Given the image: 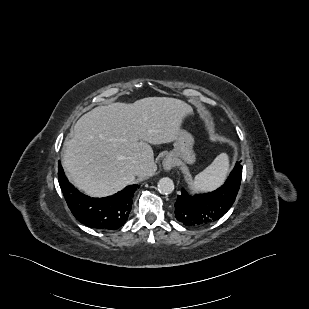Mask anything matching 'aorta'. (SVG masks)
Returning a JSON list of instances; mask_svg holds the SVG:
<instances>
[{
	"label": "aorta",
	"instance_id": "obj_1",
	"mask_svg": "<svg viewBox=\"0 0 309 309\" xmlns=\"http://www.w3.org/2000/svg\"><path fill=\"white\" fill-rule=\"evenodd\" d=\"M157 189L161 194H171L174 191V183L168 177L161 178L158 182Z\"/></svg>",
	"mask_w": 309,
	"mask_h": 309
}]
</instances>
